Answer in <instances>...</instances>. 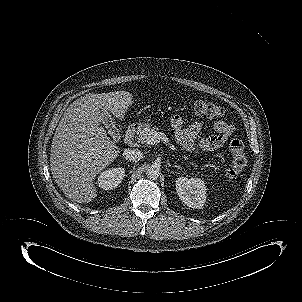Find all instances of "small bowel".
<instances>
[{
    "instance_id": "c3829d8e",
    "label": "small bowel",
    "mask_w": 302,
    "mask_h": 302,
    "mask_svg": "<svg viewBox=\"0 0 302 302\" xmlns=\"http://www.w3.org/2000/svg\"><path fill=\"white\" fill-rule=\"evenodd\" d=\"M171 126L175 131L178 143L187 150H193L196 140L203 125L200 121L193 122L189 127H185L184 119L180 115L171 117ZM216 135L202 137L197 145L203 150H213L223 146L234 132V126L224 120H218L213 126Z\"/></svg>"
}]
</instances>
